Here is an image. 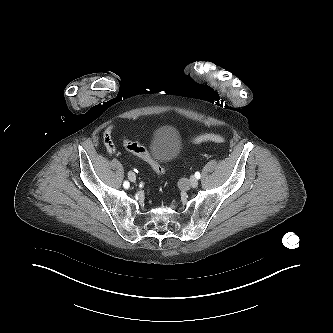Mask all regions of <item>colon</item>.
Masks as SVG:
<instances>
[{
	"instance_id": "5ec220e1",
	"label": "colon",
	"mask_w": 333,
	"mask_h": 333,
	"mask_svg": "<svg viewBox=\"0 0 333 333\" xmlns=\"http://www.w3.org/2000/svg\"><path fill=\"white\" fill-rule=\"evenodd\" d=\"M193 143L199 144V143H204V142H213V143H223L225 142V138L221 135L218 134H213V133H207V134H202L199 136H196L192 139ZM124 148L130 152L133 153L137 156H139L140 158L148 161L154 172L159 176L162 177L164 174V170L163 167L161 166V164L155 162L150 153L143 147L141 146L138 142L129 140V139H125L123 142Z\"/></svg>"
}]
</instances>
